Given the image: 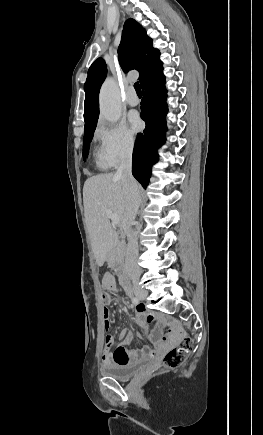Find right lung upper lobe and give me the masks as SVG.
<instances>
[{"instance_id":"obj_1","label":"right lung upper lobe","mask_w":263,"mask_h":435,"mask_svg":"<svg viewBox=\"0 0 263 435\" xmlns=\"http://www.w3.org/2000/svg\"><path fill=\"white\" fill-rule=\"evenodd\" d=\"M159 56V50L152 47V39L147 36L145 29L131 18L126 20L118 48V60L123 71L138 70L140 73L138 79L142 87L144 83L163 70V63ZM106 73V64L102 58L96 59L88 70V77L84 84L85 130L97 124L99 90Z\"/></svg>"}]
</instances>
